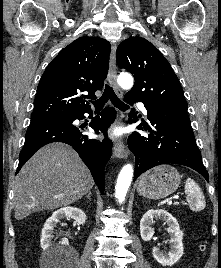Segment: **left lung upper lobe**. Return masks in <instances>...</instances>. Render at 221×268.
I'll return each mask as SVG.
<instances>
[{
	"mask_svg": "<svg viewBox=\"0 0 221 268\" xmlns=\"http://www.w3.org/2000/svg\"><path fill=\"white\" fill-rule=\"evenodd\" d=\"M116 60L135 79L126 96L148 106L187 110L183 89L171 65L148 40L142 37L124 40L117 48Z\"/></svg>",
	"mask_w": 221,
	"mask_h": 268,
	"instance_id": "left-lung-upper-lobe-1",
	"label": "left lung upper lobe"
}]
</instances>
